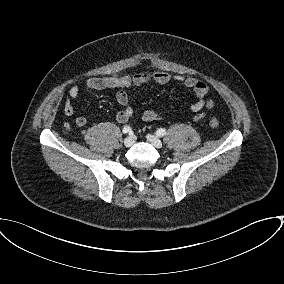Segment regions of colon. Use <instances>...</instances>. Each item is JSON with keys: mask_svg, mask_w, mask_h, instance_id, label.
<instances>
[{"mask_svg": "<svg viewBox=\"0 0 284 284\" xmlns=\"http://www.w3.org/2000/svg\"><path fill=\"white\" fill-rule=\"evenodd\" d=\"M209 123H210V126L212 128H218L219 127V121L215 117H212L210 119Z\"/></svg>", "mask_w": 284, "mask_h": 284, "instance_id": "obj_1", "label": "colon"}]
</instances>
